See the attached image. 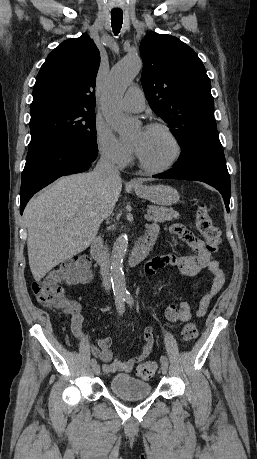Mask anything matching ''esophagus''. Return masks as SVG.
<instances>
[{
  "label": "esophagus",
  "mask_w": 257,
  "mask_h": 459,
  "mask_svg": "<svg viewBox=\"0 0 257 459\" xmlns=\"http://www.w3.org/2000/svg\"><path fill=\"white\" fill-rule=\"evenodd\" d=\"M130 184L131 185H139L140 181L138 179H136V178H133V179H131Z\"/></svg>",
  "instance_id": "esophagus-1"
}]
</instances>
